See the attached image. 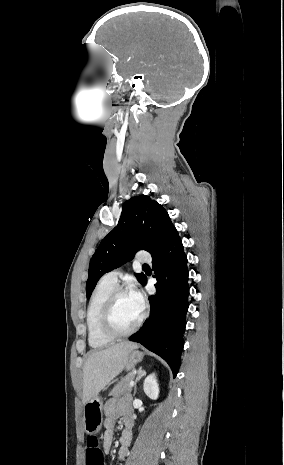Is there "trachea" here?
Instances as JSON below:
<instances>
[{"label":"trachea","instance_id":"3493384b","mask_svg":"<svg viewBox=\"0 0 284 465\" xmlns=\"http://www.w3.org/2000/svg\"><path fill=\"white\" fill-rule=\"evenodd\" d=\"M142 268H143V269H148V270H150V267H149L146 263L143 265Z\"/></svg>","mask_w":284,"mask_h":465}]
</instances>
